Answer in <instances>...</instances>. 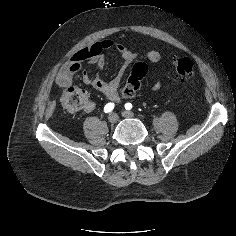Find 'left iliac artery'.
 Returning <instances> with one entry per match:
<instances>
[{
  "instance_id": "left-iliac-artery-1",
  "label": "left iliac artery",
  "mask_w": 236,
  "mask_h": 236,
  "mask_svg": "<svg viewBox=\"0 0 236 236\" xmlns=\"http://www.w3.org/2000/svg\"><path fill=\"white\" fill-rule=\"evenodd\" d=\"M125 109H126V110L132 109V104H131V103H126V104H125Z\"/></svg>"
}]
</instances>
